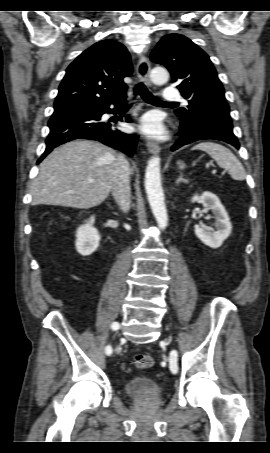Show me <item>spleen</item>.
<instances>
[{"label":"spleen","mask_w":270,"mask_h":453,"mask_svg":"<svg viewBox=\"0 0 270 453\" xmlns=\"http://www.w3.org/2000/svg\"><path fill=\"white\" fill-rule=\"evenodd\" d=\"M193 150L208 153L221 168L228 170L234 180L242 181L246 178L243 165L228 148L213 142H203L194 146Z\"/></svg>","instance_id":"obj_1"}]
</instances>
